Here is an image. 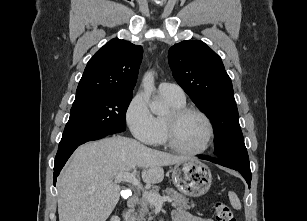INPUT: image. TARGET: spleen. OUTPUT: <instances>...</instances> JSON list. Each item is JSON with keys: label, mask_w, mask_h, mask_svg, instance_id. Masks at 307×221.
I'll return each instance as SVG.
<instances>
[{"label": "spleen", "mask_w": 307, "mask_h": 221, "mask_svg": "<svg viewBox=\"0 0 307 221\" xmlns=\"http://www.w3.org/2000/svg\"><path fill=\"white\" fill-rule=\"evenodd\" d=\"M228 196H229V200H230L232 207L236 210H240L241 209V202H240L237 194L233 191H230Z\"/></svg>", "instance_id": "3e777b00"}]
</instances>
